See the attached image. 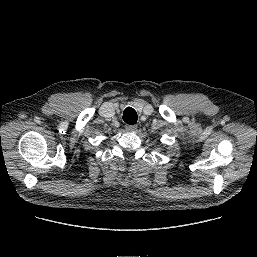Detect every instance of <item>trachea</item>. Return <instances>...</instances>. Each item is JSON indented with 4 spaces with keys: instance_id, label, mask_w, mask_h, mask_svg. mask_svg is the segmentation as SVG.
I'll return each mask as SVG.
<instances>
[{
    "instance_id": "3493384b",
    "label": "trachea",
    "mask_w": 257,
    "mask_h": 257,
    "mask_svg": "<svg viewBox=\"0 0 257 257\" xmlns=\"http://www.w3.org/2000/svg\"><path fill=\"white\" fill-rule=\"evenodd\" d=\"M123 120L129 125L135 124L137 122L136 111L131 107H127L123 113Z\"/></svg>"
}]
</instances>
